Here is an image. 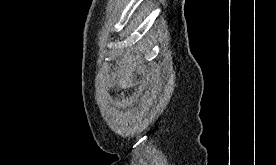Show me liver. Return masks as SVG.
Segmentation results:
<instances>
[{
	"label": "liver",
	"instance_id": "liver-1",
	"mask_svg": "<svg viewBox=\"0 0 276 165\" xmlns=\"http://www.w3.org/2000/svg\"><path fill=\"white\" fill-rule=\"evenodd\" d=\"M119 75L117 78V84L122 88H129L133 86V80L131 77L130 72L124 71L123 68H121L118 71Z\"/></svg>",
	"mask_w": 276,
	"mask_h": 165
}]
</instances>
